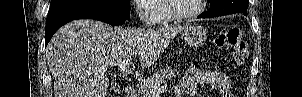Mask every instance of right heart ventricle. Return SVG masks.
<instances>
[{
    "mask_svg": "<svg viewBox=\"0 0 302 97\" xmlns=\"http://www.w3.org/2000/svg\"><path fill=\"white\" fill-rule=\"evenodd\" d=\"M157 15L156 24L159 26H168L174 22V20L168 15L165 7V0L155 1L153 6Z\"/></svg>",
    "mask_w": 302,
    "mask_h": 97,
    "instance_id": "e07e8e85",
    "label": "right heart ventricle"
}]
</instances>
